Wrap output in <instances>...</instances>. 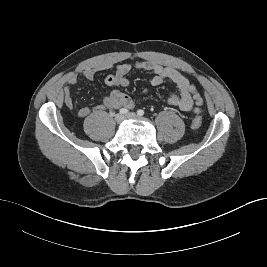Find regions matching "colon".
Instances as JSON below:
<instances>
[{
  "mask_svg": "<svg viewBox=\"0 0 267 267\" xmlns=\"http://www.w3.org/2000/svg\"><path fill=\"white\" fill-rule=\"evenodd\" d=\"M202 120L200 116H195L192 120V127L197 129L201 126Z\"/></svg>",
  "mask_w": 267,
  "mask_h": 267,
  "instance_id": "obj_1",
  "label": "colon"
}]
</instances>
